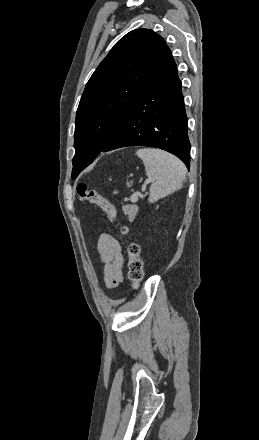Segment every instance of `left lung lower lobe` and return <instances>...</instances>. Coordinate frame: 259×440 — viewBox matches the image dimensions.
Returning a JSON list of instances; mask_svg holds the SVG:
<instances>
[{"label":"left lung lower lobe","instance_id":"0a47b994","mask_svg":"<svg viewBox=\"0 0 259 440\" xmlns=\"http://www.w3.org/2000/svg\"><path fill=\"white\" fill-rule=\"evenodd\" d=\"M176 63L166 45L146 87L102 150L150 146L166 150L190 167L187 117Z\"/></svg>","mask_w":259,"mask_h":440}]
</instances>
